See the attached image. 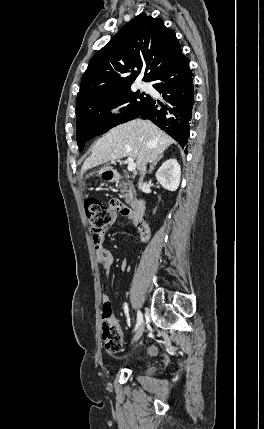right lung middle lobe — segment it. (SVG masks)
I'll return each mask as SVG.
<instances>
[{"instance_id":"1","label":"right lung middle lobe","mask_w":264,"mask_h":429,"mask_svg":"<svg viewBox=\"0 0 264 429\" xmlns=\"http://www.w3.org/2000/svg\"><path fill=\"white\" fill-rule=\"evenodd\" d=\"M150 99L149 95L133 93L130 88L102 96L76 107V138L81 152L86 141L107 132L114 126L136 118ZM121 115H112L110 109L121 104Z\"/></svg>"}]
</instances>
